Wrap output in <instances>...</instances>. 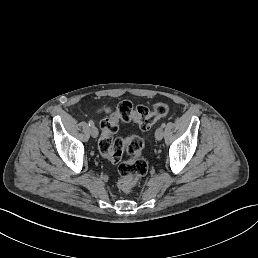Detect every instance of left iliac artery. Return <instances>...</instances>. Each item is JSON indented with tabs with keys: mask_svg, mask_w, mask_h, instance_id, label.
<instances>
[{
	"mask_svg": "<svg viewBox=\"0 0 258 258\" xmlns=\"http://www.w3.org/2000/svg\"><path fill=\"white\" fill-rule=\"evenodd\" d=\"M165 126H166V123L163 122V123L161 124V127H162V128H165Z\"/></svg>",
	"mask_w": 258,
	"mask_h": 258,
	"instance_id": "1",
	"label": "left iliac artery"
}]
</instances>
